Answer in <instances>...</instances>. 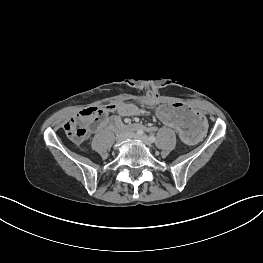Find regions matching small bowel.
<instances>
[{"instance_id":"small-bowel-1","label":"small bowel","mask_w":263,"mask_h":263,"mask_svg":"<svg viewBox=\"0 0 263 263\" xmlns=\"http://www.w3.org/2000/svg\"><path fill=\"white\" fill-rule=\"evenodd\" d=\"M113 111H116L121 116H136L140 113V109L138 107L132 104L125 103H119L114 105V108L111 112ZM96 127H94L93 129H95Z\"/></svg>"}]
</instances>
